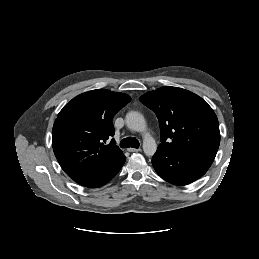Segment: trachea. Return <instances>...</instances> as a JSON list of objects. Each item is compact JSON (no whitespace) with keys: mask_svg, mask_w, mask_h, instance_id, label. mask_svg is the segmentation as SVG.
I'll use <instances>...</instances> for the list:
<instances>
[{"mask_svg":"<svg viewBox=\"0 0 259 259\" xmlns=\"http://www.w3.org/2000/svg\"><path fill=\"white\" fill-rule=\"evenodd\" d=\"M139 141L136 138L127 137L122 139L120 146L121 148H139Z\"/></svg>","mask_w":259,"mask_h":259,"instance_id":"trachea-1","label":"trachea"}]
</instances>
